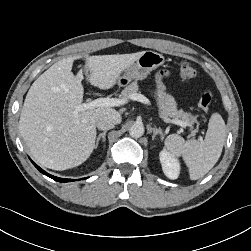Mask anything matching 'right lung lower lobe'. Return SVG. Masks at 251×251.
<instances>
[{
  "label": "right lung lower lobe",
  "instance_id": "obj_1",
  "mask_svg": "<svg viewBox=\"0 0 251 251\" xmlns=\"http://www.w3.org/2000/svg\"><path fill=\"white\" fill-rule=\"evenodd\" d=\"M31 162L34 164V166L43 174L47 175L48 177L54 179L55 181L58 182H70V181H74V179H64V178H58L56 176L50 175L47 172H45L44 170H42L39 166H37L32 160Z\"/></svg>",
  "mask_w": 251,
  "mask_h": 251
}]
</instances>
